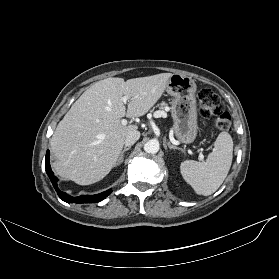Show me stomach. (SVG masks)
Wrapping results in <instances>:
<instances>
[{"mask_svg":"<svg viewBox=\"0 0 279 279\" xmlns=\"http://www.w3.org/2000/svg\"><path fill=\"white\" fill-rule=\"evenodd\" d=\"M195 81L184 75L173 74L166 86V92L173 97L171 115L173 130L182 143H192L197 136V108Z\"/></svg>","mask_w":279,"mask_h":279,"instance_id":"stomach-1","label":"stomach"}]
</instances>
